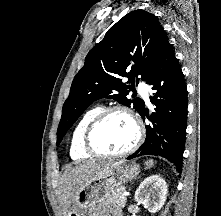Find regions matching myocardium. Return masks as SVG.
<instances>
[{"mask_svg":"<svg viewBox=\"0 0 221 216\" xmlns=\"http://www.w3.org/2000/svg\"><path fill=\"white\" fill-rule=\"evenodd\" d=\"M123 113L127 115L135 127V139L133 143L121 152L109 153L97 149L93 144V134L99 124L112 113ZM144 137V126L140 117L129 107L125 105H114L102 109L87 125L83 133V147L91 155L104 158H118L126 156L136 150Z\"/></svg>","mask_w":221,"mask_h":216,"instance_id":"f54148a6","label":"myocardium"}]
</instances>
